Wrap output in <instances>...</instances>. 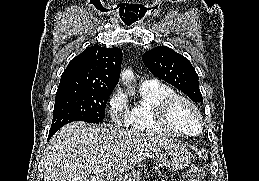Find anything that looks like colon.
<instances>
[{"mask_svg": "<svg viewBox=\"0 0 259 181\" xmlns=\"http://www.w3.org/2000/svg\"><path fill=\"white\" fill-rule=\"evenodd\" d=\"M204 179L205 171L203 167L199 165H194L189 169L186 181H204Z\"/></svg>", "mask_w": 259, "mask_h": 181, "instance_id": "5ec220e1", "label": "colon"}]
</instances>
